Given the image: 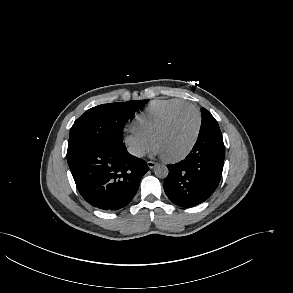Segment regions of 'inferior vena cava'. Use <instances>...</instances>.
Wrapping results in <instances>:
<instances>
[{
	"mask_svg": "<svg viewBox=\"0 0 293 293\" xmlns=\"http://www.w3.org/2000/svg\"><path fill=\"white\" fill-rule=\"evenodd\" d=\"M128 151L136 157H142L145 154L144 150L140 147H129Z\"/></svg>",
	"mask_w": 293,
	"mask_h": 293,
	"instance_id": "obj_1",
	"label": "inferior vena cava"
}]
</instances>
